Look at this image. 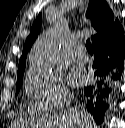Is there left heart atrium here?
Returning a JSON list of instances; mask_svg holds the SVG:
<instances>
[{
  "mask_svg": "<svg viewBox=\"0 0 125 128\" xmlns=\"http://www.w3.org/2000/svg\"><path fill=\"white\" fill-rule=\"evenodd\" d=\"M73 81L76 83H79L81 81L80 77L78 75L73 77Z\"/></svg>",
  "mask_w": 125,
  "mask_h": 128,
  "instance_id": "obj_1",
  "label": "left heart atrium"
}]
</instances>
